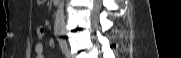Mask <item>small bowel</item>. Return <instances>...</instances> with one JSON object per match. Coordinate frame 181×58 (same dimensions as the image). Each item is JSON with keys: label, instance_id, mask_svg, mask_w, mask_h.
Here are the masks:
<instances>
[{"label": "small bowel", "instance_id": "c3829d8e", "mask_svg": "<svg viewBox=\"0 0 181 58\" xmlns=\"http://www.w3.org/2000/svg\"><path fill=\"white\" fill-rule=\"evenodd\" d=\"M36 34H37V37L39 39V41L36 43L35 47H34V50H35V55H36V58H44V48H43V44L41 42V39L44 37L45 35V29L43 27H38L37 30H36ZM54 40L50 39L49 41V45L51 47L54 46Z\"/></svg>", "mask_w": 181, "mask_h": 58}]
</instances>
